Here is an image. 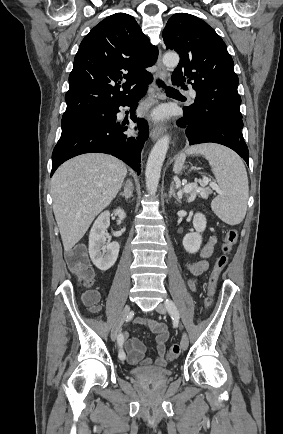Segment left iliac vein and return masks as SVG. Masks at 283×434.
<instances>
[{
  "instance_id": "obj_1",
  "label": "left iliac vein",
  "mask_w": 283,
  "mask_h": 434,
  "mask_svg": "<svg viewBox=\"0 0 283 434\" xmlns=\"http://www.w3.org/2000/svg\"><path fill=\"white\" fill-rule=\"evenodd\" d=\"M156 311L158 313H160V314H166V307H165V305L164 304H159L156 307ZM180 345H181V348L183 350H186L188 348L189 340H188V335H187L186 332H183V334H182V339H181Z\"/></svg>"
}]
</instances>
